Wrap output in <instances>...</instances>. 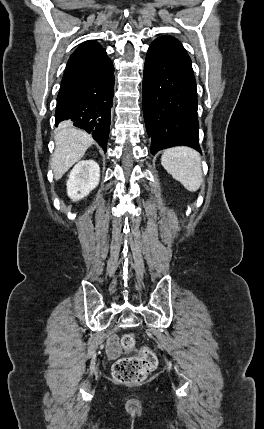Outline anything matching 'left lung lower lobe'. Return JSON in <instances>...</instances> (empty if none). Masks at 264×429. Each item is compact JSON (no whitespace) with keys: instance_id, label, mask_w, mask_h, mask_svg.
I'll return each mask as SVG.
<instances>
[{"instance_id":"0a47b994","label":"left lung lower lobe","mask_w":264,"mask_h":429,"mask_svg":"<svg viewBox=\"0 0 264 429\" xmlns=\"http://www.w3.org/2000/svg\"><path fill=\"white\" fill-rule=\"evenodd\" d=\"M142 101L152 154L179 145L201 153L191 59L182 44L171 36L158 37L148 49Z\"/></svg>"}]
</instances>
